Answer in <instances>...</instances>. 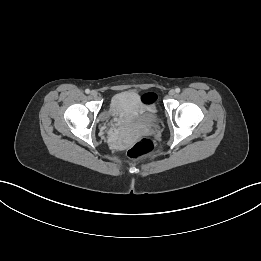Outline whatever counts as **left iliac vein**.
<instances>
[{
    "label": "left iliac vein",
    "mask_w": 261,
    "mask_h": 261,
    "mask_svg": "<svg viewBox=\"0 0 261 261\" xmlns=\"http://www.w3.org/2000/svg\"><path fill=\"white\" fill-rule=\"evenodd\" d=\"M175 95V90H173V89H171L170 91H169V96H174Z\"/></svg>",
    "instance_id": "left-iliac-vein-1"
}]
</instances>
